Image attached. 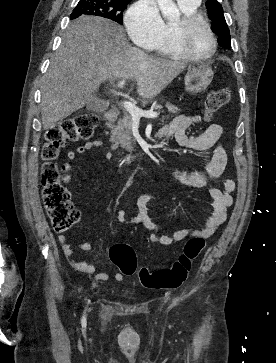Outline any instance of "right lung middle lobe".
I'll list each match as a JSON object with an SVG mask.
<instances>
[{
	"mask_svg": "<svg viewBox=\"0 0 276 363\" xmlns=\"http://www.w3.org/2000/svg\"><path fill=\"white\" fill-rule=\"evenodd\" d=\"M127 4L128 1L119 0H80L70 19H75L81 15H92L108 18L122 24L123 11Z\"/></svg>",
	"mask_w": 276,
	"mask_h": 363,
	"instance_id": "dd1d6c3e",
	"label": "right lung middle lobe"
}]
</instances>
